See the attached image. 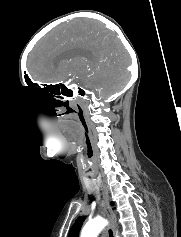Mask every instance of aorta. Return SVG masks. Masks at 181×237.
Here are the masks:
<instances>
[{"label":"aorta","mask_w":181,"mask_h":237,"mask_svg":"<svg viewBox=\"0 0 181 237\" xmlns=\"http://www.w3.org/2000/svg\"><path fill=\"white\" fill-rule=\"evenodd\" d=\"M107 224L108 222L106 219L96 217L86 223L81 231L80 237H97Z\"/></svg>","instance_id":"aorta-1"}]
</instances>
